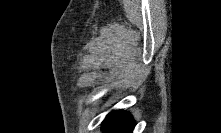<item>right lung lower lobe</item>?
Instances as JSON below:
<instances>
[{"label":"right lung lower lobe","mask_w":221,"mask_h":133,"mask_svg":"<svg viewBox=\"0 0 221 133\" xmlns=\"http://www.w3.org/2000/svg\"><path fill=\"white\" fill-rule=\"evenodd\" d=\"M135 123L127 112L113 111L104 121L105 133H132Z\"/></svg>","instance_id":"obj_1"}]
</instances>
